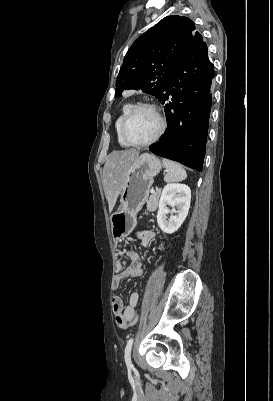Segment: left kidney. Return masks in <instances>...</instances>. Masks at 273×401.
<instances>
[{"instance_id": "1", "label": "left kidney", "mask_w": 273, "mask_h": 401, "mask_svg": "<svg viewBox=\"0 0 273 401\" xmlns=\"http://www.w3.org/2000/svg\"><path fill=\"white\" fill-rule=\"evenodd\" d=\"M191 203V190L187 184H166L164 186L160 201H159V211L157 213V223L163 231V233H168L172 235L175 231H178L182 223H184L189 207ZM167 205L170 207H176L169 211ZM168 213H176L171 219H167L166 215Z\"/></svg>"}]
</instances>
